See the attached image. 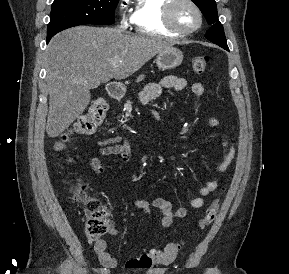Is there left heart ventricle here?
Instances as JSON below:
<instances>
[{"label":"left heart ventricle","mask_w":289,"mask_h":274,"mask_svg":"<svg viewBox=\"0 0 289 274\" xmlns=\"http://www.w3.org/2000/svg\"><path fill=\"white\" fill-rule=\"evenodd\" d=\"M173 18L176 25L182 29H190L198 23L195 10L185 2L178 3L175 6Z\"/></svg>","instance_id":"obj_1"}]
</instances>
